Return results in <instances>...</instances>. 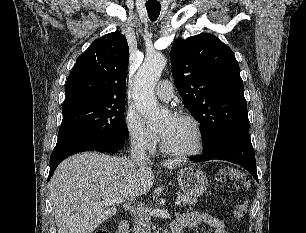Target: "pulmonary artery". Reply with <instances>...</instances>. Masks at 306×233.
Wrapping results in <instances>:
<instances>
[{
    "mask_svg": "<svg viewBox=\"0 0 306 233\" xmlns=\"http://www.w3.org/2000/svg\"><path fill=\"white\" fill-rule=\"evenodd\" d=\"M155 93L163 101H168L173 96V86L169 80H162L158 83Z\"/></svg>",
    "mask_w": 306,
    "mask_h": 233,
    "instance_id": "pulmonary-artery-1",
    "label": "pulmonary artery"
}]
</instances>
